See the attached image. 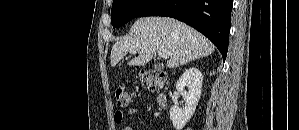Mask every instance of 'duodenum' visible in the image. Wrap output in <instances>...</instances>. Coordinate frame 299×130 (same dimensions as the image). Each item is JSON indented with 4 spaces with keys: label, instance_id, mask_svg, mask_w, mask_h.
Returning a JSON list of instances; mask_svg holds the SVG:
<instances>
[{
    "label": "duodenum",
    "instance_id": "410a0bca",
    "mask_svg": "<svg viewBox=\"0 0 299 130\" xmlns=\"http://www.w3.org/2000/svg\"><path fill=\"white\" fill-rule=\"evenodd\" d=\"M157 104L160 108H165L167 106V98L164 94H159L157 96Z\"/></svg>",
    "mask_w": 299,
    "mask_h": 130
}]
</instances>
